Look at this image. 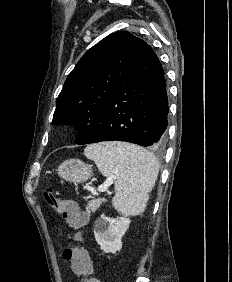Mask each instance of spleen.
Returning <instances> with one entry per match:
<instances>
[{"label":"spleen","instance_id":"1","mask_svg":"<svg viewBox=\"0 0 232 282\" xmlns=\"http://www.w3.org/2000/svg\"><path fill=\"white\" fill-rule=\"evenodd\" d=\"M84 154L104 176H117L114 208L123 214H142L159 173L156 157L144 148L121 142L90 145Z\"/></svg>","mask_w":232,"mask_h":282}]
</instances>
